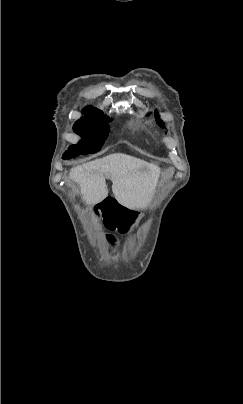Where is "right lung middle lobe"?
Returning <instances> with one entry per match:
<instances>
[{
	"label": "right lung middle lobe",
	"mask_w": 243,
	"mask_h": 404,
	"mask_svg": "<svg viewBox=\"0 0 243 404\" xmlns=\"http://www.w3.org/2000/svg\"><path fill=\"white\" fill-rule=\"evenodd\" d=\"M109 121L111 119L103 114L82 117L76 121L73 129L75 133L83 137L82 142L70 146L63 154V159H71L81 154H90L99 151L108 136L109 125L106 122Z\"/></svg>",
	"instance_id": "right-lung-middle-lobe-1"
}]
</instances>
